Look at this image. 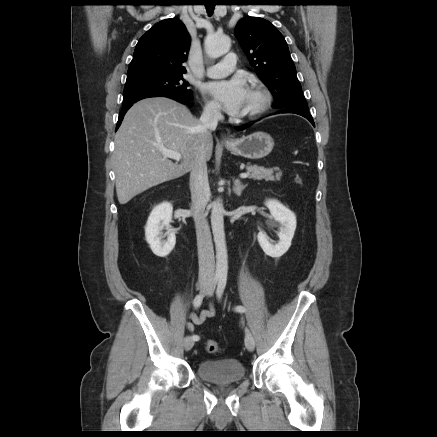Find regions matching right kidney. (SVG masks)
I'll use <instances>...</instances> for the list:
<instances>
[{"instance_id": "1", "label": "right kidney", "mask_w": 437, "mask_h": 437, "mask_svg": "<svg viewBox=\"0 0 437 437\" xmlns=\"http://www.w3.org/2000/svg\"><path fill=\"white\" fill-rule=\"evenodd\" d=\"M173 206L163 202L153 208L145 226V238L152 252L158 257H166L176 244L175 232L171 229ZM167 231L163 234L162 230ZM167 236V240H163Z\"/></svg>"}]
</instances>
